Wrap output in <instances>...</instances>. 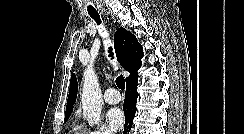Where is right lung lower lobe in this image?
I'll return each mask as SVG.
<instances>
[{
	"mask_svg": "<svg viewBox=\"0 0 244 134\" xmlns=\"http://www.w3.org/2000/svg\"><path fill=\"white\" fill-rule=\"evenodd\" d=\"M137 83L138 77L132 78L131 80L126 82V96L123 105L125 113V125L123 134H128L132 128L138 97Z\"/></svg>",
	"mask_w": 244,
	"mask_h": 134,
	"instance_id": "right-lung-lower-lobe-1",
	"label": "right lung lower lobe"
}]
</instances>
